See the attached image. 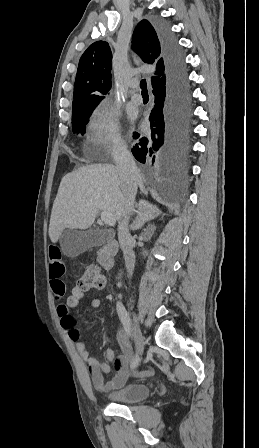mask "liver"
Returning a JSON list of instances; mask_svg holds the SVG:
<instances>
[{
  "mask_svg": "<svg viewBox=\"0 0 259 448\" xmlns=\"http://www.w3.org/2000/svg\"><path fill=\"white\" fill-rule=\"evenodd\" d=\"M139 186L142 194L148 196L143 184ZM124 202L116 166L92 164L66 174L60 182L51 212V242L56 244L65 228L87 230L94 224L99 210L110 212L115 220H121L125 214Z\"/></svg>",
  "mask_w": 259,
  "mask_h": 448,
  "instance_id": "liver-1",
  "label": "liver"
}]
</instances>
